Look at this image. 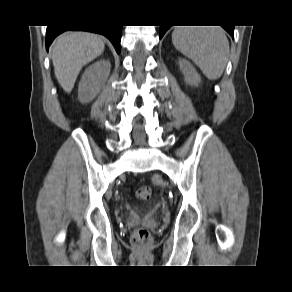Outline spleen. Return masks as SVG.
Segmentation results:
<instances>
[{"instance_id":"3e777b00","label":"spleen","mask_w":292,"mask_h":292,"mask_svg":"<svg viewBox=\"0 0 292 292\" xmlns=\"http://www.w3.org/2000/svg\"><path fill=\"white\" fill-rule=\"evenodd\" d=\"M172 42L209 80L222 76L230 50L222 28L179 26L172 33Z\"/></svg>"}]
</instances>
